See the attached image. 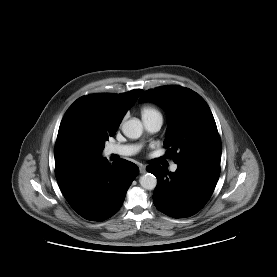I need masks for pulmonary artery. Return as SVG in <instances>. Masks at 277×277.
<instances>
[{
	"label": "pulmonary artery",
	"instance_id": "1",
	"mask_svg": "<svg viewBox=\"0 0 277 277\" xmlns=\"http://www.w3.org/2000/svg\"><path fill=\"white\" fill-rule=\"evenodd\" d=\"M144 125L149 132H157L162 126V117H153L148 119H143ZM139 151V146L137 145H110L106 148V155H120V156H131ZM171 171H176L177 165L172 164L170 167Z\"/></svg>",
	"mask_w": 277,
	"mask_h": 277
}]
</instances>
